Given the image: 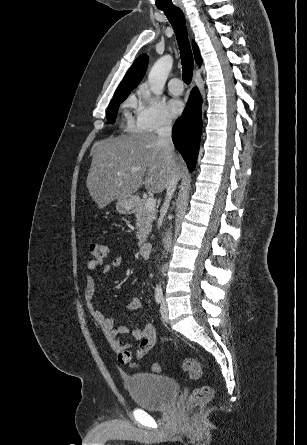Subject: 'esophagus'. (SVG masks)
<instances>
[{
	"label": "esophagus",
	"instance_id": "obj_1",
	"mask_svg": "<svg viewBox=\"0 0 307 445\" xmlns=\"http://www.w3.org/2000/svg\"><path fill=\"white\" fill-rule=\"evenodd\" d=\"M177 7H179L182 10V12H185V7L183 3H177Z\"/></svg>",
	"mask_w": 307,
	"mask_h": 445
}]
</instances>
